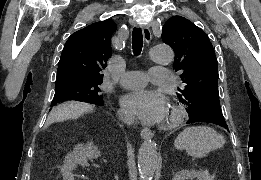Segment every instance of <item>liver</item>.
Returning <instances> with one entry per match:
<instances>
[{
	"mask_svg": "<svg viewBox=\"0 0 261 180\" xmlns=\"http://www.w3.org/2000/svg\"><path fill=\"white\" fill-rule=\"evenodd\" d=\"M69 104H74V102H68V104H62V106H60V108H56V110H63V108H67Z\"/></svg>",
	"mask_w": 261,
	"mask_h": 180,
	"instance_id": "obj_1",
	"label": "liver"
}]
</instances>
